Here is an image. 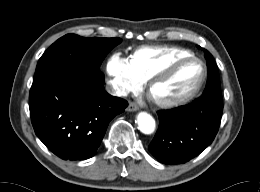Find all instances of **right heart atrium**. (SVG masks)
<instances>
[{"label":"right heart atrium","mask_w":260,"mask_h":192,"mask_svg":"<svg viewBox=\"0 0 260 192\" xmlns=\"http://www.w3.org/2000/svg\"><path fill=\"white\" fill-rule=\"evenodd\" d=\"M107 71L115 87L121 92L137 91L143 85V79L136 72L132 62L118 55L109 58Z\"/></svg>","instance_id":"d8ad5b80"}]
</instances>
